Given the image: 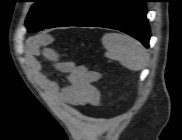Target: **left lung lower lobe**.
Masks as SVG:
<instances>
[{"instance_id":"left-lung-lower-lobe-1","label":"left lung lower lobe","mask_w":182,"mask_h":140,"mask_svg":"<svg viewBox=\"0 0 182 140\" xmlns=\"http://www.w3.org/2000/svg\"><path fill=\"white\" fill-rule=\"evenodd\" d=\"M146 0H104L70 26L104 27L120 30L149 47L150 28Z\"/></svg>"}]
</instances>
